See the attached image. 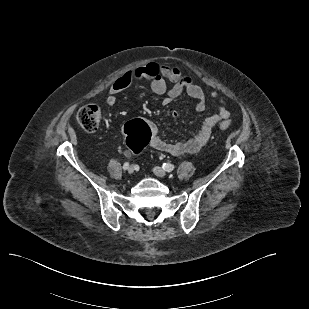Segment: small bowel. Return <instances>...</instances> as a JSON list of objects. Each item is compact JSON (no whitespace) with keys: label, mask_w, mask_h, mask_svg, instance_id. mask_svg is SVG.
<instances>
[{"label":"small bowel","mask_w":309,"mask_h":309,"mask_svg":"<svg viewBox=\"0 0 309 309\" xmlns=\"http://www.w3.org/2000/svg\"><path fill=\"white\" fill-rule=\"evenodd\" d=\"M145 81L149 84L151 91L157 95H165L164 101L171 102L183 93L196 100V110L201 112L206 108L207 96L203 89L197 85L190 76L184 75L176 67L149 63L132 69L116 79L111 85L106 103L113 106L117 102V97L124 92L132 83ZM167 82L172 83L168 87ZM210 98L217 106L218 111L207 117L200 130L185 141L170 143L162 139L159 135L156 124L152 121L146 122L150 131V146L158 151L166 152L174 156L186 153H197L208 142L213 128L224 120L231 117V111L228 109L225 100L215 91L210 93ZM173 117L177 114L172 111Z\"/></svg>","instance_id":"small-bowel-1"}]
</instances>
